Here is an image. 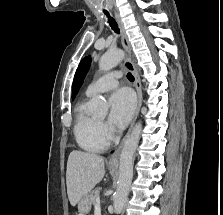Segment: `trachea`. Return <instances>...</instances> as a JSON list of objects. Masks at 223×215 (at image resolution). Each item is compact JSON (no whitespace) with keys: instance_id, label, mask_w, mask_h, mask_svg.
Returning <instances> with one entry per match:
<instances>
[{"instance_id":"3493384b","label":"trachea","mask_w":223,"mask_h":215,"mask_svg":"<svg viewBox=\"0 0 223 215\" xmlns=\"http://www.w3.org/2000/svg\"><path fill=\"white\" fill-rule=\"evenodd\" d=\"M105 14L108 16V22H109L110 26L112 27V30H114L117 34H119V28H118V25L115 22L114 18L109 16L107 11H105ZM127 78L130 82H134V76L132 75V73H128Z\"/></svg>"}]
</instances>
